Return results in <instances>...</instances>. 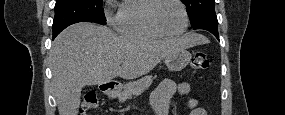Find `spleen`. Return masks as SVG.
Returning <instances> with one entry per match:
<instances>
[{
	"mask_svg": "<svg viewBox=\"0 0 285 115\" xmlns=\"http://www.w3.org/2000/svg\"><path fill=\"white\" fill-rule=\"evenodd\" d=\"M202 37V41L204 42V41H206V39L203 37V36H201Z\"/></svg>",
	"mask_w": 285,
	"mask_h": 115,
	"instance_id": "obj_1",
	"label": "spleen"
}]
</instances>
